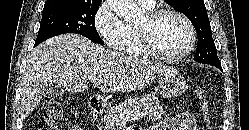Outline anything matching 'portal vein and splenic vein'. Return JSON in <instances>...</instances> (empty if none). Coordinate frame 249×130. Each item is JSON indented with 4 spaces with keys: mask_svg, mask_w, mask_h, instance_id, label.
I'll return each instance as SVG.
<instances>
[{
    "mask_svg": "<svg viewBox=\"0 0 249 130\" xmlns=\"http://www.w3.org/2000/svg\"><path fill=\"white\" fill-rule=\"evenodd\" d=\"M91 82H93L94 84H98L100 83V80L92 79ZM120 117L122 118L123 122L135 121L144 118L145 114L140 112H134V113L129 112L122 114Z\"/></svg>",
    "mask_w": 249,
    "mask_h": 130,
    "instance_id": "obj_1",
    "label": "portal vein and splenic vein"
}]
</instances>
